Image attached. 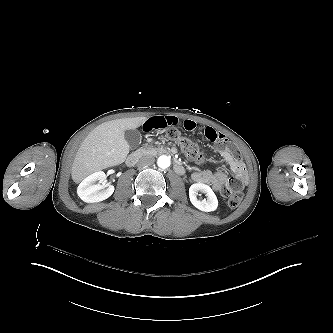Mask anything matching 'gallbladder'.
I'll list each match as a JSON object with an SVG mask.
<instances>
[{"label":"gallbladder","instance_id":"1","mask_svg":"<svg viewBox=\"0 0 333 333\" xmlns=\"http://www.w3.org/2000/svg\"><path fill=\"white\" fill-rule=\"evenodd\" d=\"M124 137L131 149H136L141 143V133L136 129L126 130Z\"/></svg>","mask_w":333,"mask_h":333}]
</instances>
